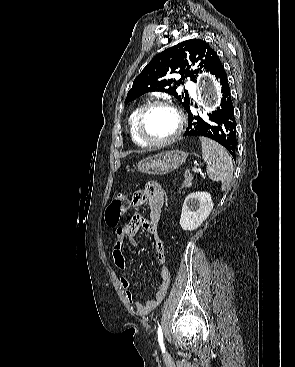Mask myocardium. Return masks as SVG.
Instances as JSON below:
<instances>
[{"instance_id": "obj_1", "label": "myocardium", "mask_w": 295, "mask_h": 367, "mask_svg": "<svg viewBox=\"0 0 295 367\" xmlns=\"http://www.w3.org/2000/svg\"><path fill=\"white\" fill-rule=\"evenodd\" d=\"M155 107H166V108L171 109L175 113L177 120H178V126L174 134L167 139L159 140V141L149 139L145 135L144 129H143V124H144V119H145L146 114L148 113L149 110ZM183 128H184V117L182 113L176 106H174L172 103L165 101V100H154V101L148 102L145 105H143L137 114L136 122H135V129H136V133L139 139L147 146H152V147H162V146H166V145H169L175 142L182 134Z\"/></svg>"}]
</instances>
